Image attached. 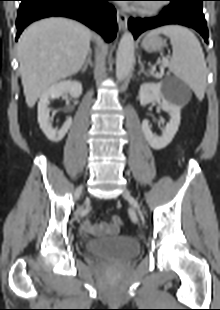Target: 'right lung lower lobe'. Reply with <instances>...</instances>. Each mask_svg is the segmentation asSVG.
<instances>
[{
    "label": "right lung lower lobe",
    "instance_id": "right-lung-lower-lobe-1",
    "mask_svg": "<svg viewBox=\"0 0 220 310\" xmlns=\"http://www.w3.org/2000/svg\"><path fill=\"white\" fill-rule=\"evenodd\" d=\"M16 40L30 23L50 16L76 19L112 41L117 32L116 11L110 0H20Z\"/></svg>",
    "mask_w": 220,
    "mask_h": 310
}]
</instances>
